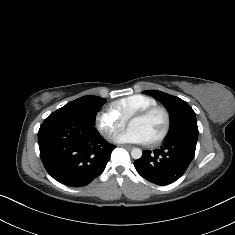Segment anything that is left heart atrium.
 Wrapping results in <instances>:
<instances>
[{"mask_svg":"<svg viewBox=\"0 0 235 235\" xmlns=\"http://www.w3.org/2000/svg\"><path fill=\"white\" fill-rule=\"evenodd\" d=\"M112 139L117 143L146 144L148 142L145 134L140 129L133 127L116 132Z\"/></svg>","mask_w":235,"mask_h":235,"instance_id":"1","label":"left heart atrium"}]
</instances>
